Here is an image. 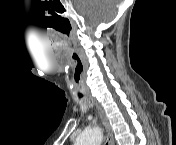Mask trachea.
<instances>
[{
    "mask_svg": "<svg viewBox=\"0 0 176 145\" xmlns=\"http://www.w3.org/2000/svg\"><path fill=\"white\" fill-rule=\"evenodd\" d=\"M82 96L81 95H79V98H81ZM106 145H108V143L106 144Z\"/></svg>",
    "mask_w": 176,
    "mask_h": 145,
    "instance_id": "1",
    "label": "trachea"
}]
</instances>
